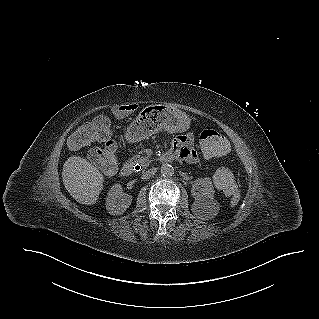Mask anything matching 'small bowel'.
I'll use <instances>...</instances> for the list:
<instances>
[{
  "instance_id": "c3829d8e",
  "label": "small bowel",
  "mask_w": 319,
  "mask_h": 319,
  "mask_svg": "<svg viewBox=\"0 0 319 319\" xmlns=\"http://www.w3.org/2000/svg\"><path fill=\"white\" fill-rule=\"evenodd\" d=\"M132 109L133 106L121 103L115 106L114 113L118 117H126ZM170 152L173 153L174 158H183L190 163H197L199 161L198 154L193 148V138L190 134L177 136L172 142Z\"/></svg>"
}]
</instances>
